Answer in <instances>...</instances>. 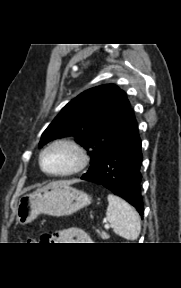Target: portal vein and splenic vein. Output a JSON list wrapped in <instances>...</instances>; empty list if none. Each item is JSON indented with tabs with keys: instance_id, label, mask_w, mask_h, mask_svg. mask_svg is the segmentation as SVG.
I'll list each match as a JSON object with an SVG mask.
<instances>
[{
	"instance_id": "portal-vein-and-splenic-vein-1",
	"label": "portal vein and splenic vein",
	"mask_w": 181,
	"mask_h": 288,
	"mask_svg": "<svg viewBox=\"0 0 181 288\" xmlns=\"http://www.w3.org/2000/svg\"><path fill=\"white\" fill-rule=\"evenodd\" d=\"M104 227H105V229H109L110 225L108 223H106Z\"/></svg>"
}]
</instances>
